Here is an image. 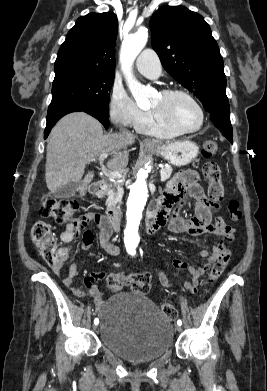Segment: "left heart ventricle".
<instances>
[{"label":"left heart ventricle","mask_w":267,"mask_h":391,"mask_svg":"<svg viewBox=\"0 0 267 391\" xmlns=\"http://www.w3.org/2000/svg\"><path fill=\"white\" fill-rule=\"evenodd\" d=\"M174 124L184 129H193L199 125L200 114L196 106L182 95L163 98L160 94L152 105Z\"/></svg>","instance_id":"b2bd125f"}]
</instances>
